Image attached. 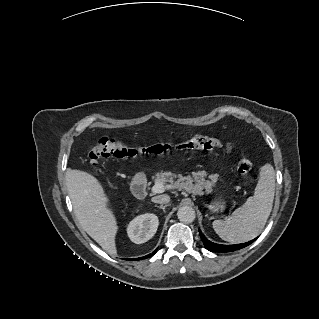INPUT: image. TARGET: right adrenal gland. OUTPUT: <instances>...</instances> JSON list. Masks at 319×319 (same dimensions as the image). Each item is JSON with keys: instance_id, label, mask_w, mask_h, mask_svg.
Returning <instances> with one entry per match:
<instances>
[{"instance_id": "right-adrenal-gland-1", "label": "right adrenal gland", "mask_w": 319, "mask_h": 319, "mask_svg": "<svg viewBox=\"0 0 319 319\" xmlns=\"http://www.w3.org/2000/svg\"><path fill=\"white\" fill-rule=\"evenodd\" d=\"M167 206H169V205H160V206H158V205H155V207H157V208H159V209H162L163 211H165V208L167 207Z\"/></svg>"}]
</instances>
